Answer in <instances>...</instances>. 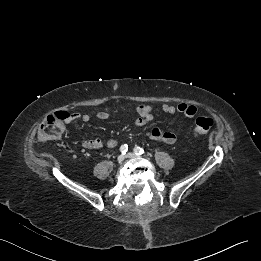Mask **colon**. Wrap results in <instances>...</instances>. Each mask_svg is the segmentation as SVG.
<instances>
[{
  "label": "colon",
  "instance_id": "colon-1",
  "mask_svg": "<svg viewBox=\"0 0 261 261\" xmlns=\"http://www.w3.org/2000/svg\"><path fill=\"white\" fill-rule=\"evenodd\" d=\"M71 120V114L66 111H57L49 114L43 120L38 132L41 142L57 139L62 134L63 125ZM213 126V120L206 115L199 116L195 121L194 137L207 133Z\"/></svg>",
  "mask_w": 261,
  "mask_h": 261
}]
</instances>
